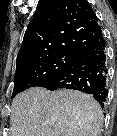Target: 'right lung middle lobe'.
Listing matches in <instances>:
<instances>
[{"mask_svg": "<svg viewBox=\"0 0 117 136\" xmlns=\"http://www.w3.org/2000/svg\"><path fill=\"white\" fill-rule=\"evenodd\" d=\"M77 54L62 52L33 60L16 68L12 98L24 90L40 85L62 70Z\"/></svg>", "mask_w": 117, "mask_h": 136, "instance_id": "dd1d6c3e", "label": "right lung middle lobe"}]
</instances>
